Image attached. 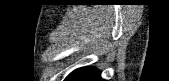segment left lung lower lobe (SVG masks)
Segmentation results:
<instances>
[{
  "instance_id": "1",
  "label": "left lung lower lobe",
  "mask_w": 169,
  "mask_h": 81,
  "mask_svg": "<svg viewBox=\"0 0 169 81\" xmlns=\"http://www.w3.org/2000/svg\"><path fill=\"white\" fill-rule=\"evenodd\" d=\"M65 81H104L99 70L93 67L79 68L68 75Z\"/></svg>"
}]
</instances>
